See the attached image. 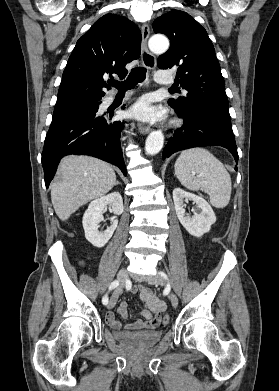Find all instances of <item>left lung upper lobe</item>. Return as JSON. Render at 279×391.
<instances>
[{"label": "left lung upper lobe", "mask_w": 279, "mask_h": 391, "mask_svg": "<svg viewBox=\"0 0 279 391\" xmlns=\"http://www.w3.org/2000/svg\"><path fill=\"white\" fill-rule=\"evenodd\" d=\"M155 33L170 39L169 50L158 58L160 69L176 68V81L187 90L168 103L185 111L207 107L230 117L225 83L206 30L189 14L172 10L153 22Z\"/></svg>", "instance_id": "obj_1"}]
</instances>
